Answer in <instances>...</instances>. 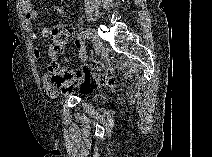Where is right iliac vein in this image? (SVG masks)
I'll use <instances>...</instances> for the list:
<instances>
[{"mask_svg":"<svg viewBox=\"0 0 212 157\" xmlns=\"http://www.w3.org/2000/svg\"><path fill=\"white\" fill-rule=\"evenodd\" d=\"M93 42H94V47H95V51H96V55H99L102 51V42L100 40V38L94 34L93 29H89L88 30Z\"/></svg>","mask_w":212,"mask_h":157,"instance_id":"1","label":"right iliac vein"}]
</instances>
